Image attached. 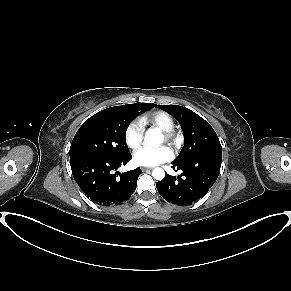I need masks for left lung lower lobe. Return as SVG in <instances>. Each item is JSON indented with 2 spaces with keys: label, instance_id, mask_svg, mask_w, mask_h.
<instances>
[{
  "label": "left lung lower lobe",
  "instance_id": "obj_1",
  "mask_svg": "<svg viewBox=\"0 0 291 291\" xmlns=\"http://www.w3.org/2000/svg\"><path fill=\"white\" fill-rule=\"evenodd\" d=\"M222 151H213L173 161V169L181 170L177 178L167 175L156 183L160 195L170 203L189 205L202 198L220 173Z\"/></svg>",
  "mask_w": 291,
  "mask_h": 291
}]
</instances>
